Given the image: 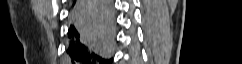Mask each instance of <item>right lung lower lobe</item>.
Wrapping results in <instances>:
<instances>
[{
    "label": "right lung lower lobe",
    "mask_w": 242,
    "mask_h": 64,
    "mask_svg": "<svg viewBox=\"0 0 242 64\" xmlns=\"http://www.w3.org/2000/svg\"><path fill=\"white\" fill-rule=\"evenodd\" d=\"M72 6L67 33L70 63H110L115 33L112 0H75Z\"/></svg>",
    "instance_id": "obj_1"
}]
</instances>
